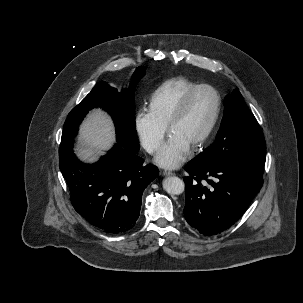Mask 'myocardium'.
Segmentation results:
<instances>
[{
	"label": "myocardium",
	"mask_w": 303,
	"mask_h": 303,
	"mask_svg": "<svg viewBox=\"0 0 303 303\" xmlns=\"http://www.w3.org/2000/svg\"><path fill=\"white\" fill-rule=\"evenodd\" d=\"M203 89H208L214 93V95L216 97V107H215L214 114L212 116V119H211L208 127L206 128L204 133L198 138V140L192 145V148L194 150L201 148L207 142V140L213 133V131L218 123V120H219V117L221 114V109H222V97H221L219 91L215 87H213L212 85H209V84H199L196 87L192 88L190 91H188L185 94V96L183 97V99L181 100V102L179 103V105L177 106L174 113L172 114V116L168 122V125H167L168 130L171 131L172 128L174 127V125L186 113V111L189 107V104H190L192 98L195 96V94Z\"/></svg>",
	"instance_id": "myocardium-1"
}]
</instances>
